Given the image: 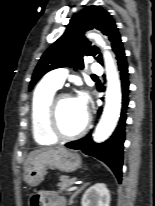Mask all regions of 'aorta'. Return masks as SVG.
I'll use <instances>...</instances> for the list:
<instances>
[{"label": "aorta", "instance_id": "obj_1", "mask_svg": "<svg viewBox=\"0 0 155 206\" xmlns=\"http://www.w3.org/2000/svg\"><path fill=\"white\" fill-rule=\"evenodd\" d=\"M89 37L95 39L96 43L104 49V60L107 72L106 104L101 120L94 133V141L103 142L111 135L119 119L121 110V88L117 69L112 55L108 51L109 47L106 46L99 35L89 34Z\"/></svg>", "mask_w": 155, "mask_h": 206}]
</instances>
